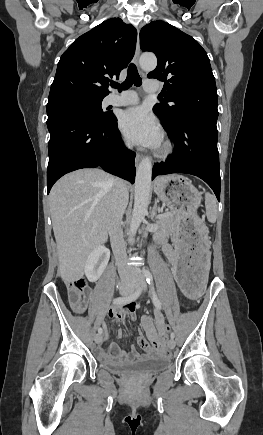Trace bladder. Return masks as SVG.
I'll list each match as a JSON object with an SVG mask.
<instances>
[{"mask_svg":"<svg viewBox=\"0 0 263 435\" xmlns=\"http://www.w3.org/2000/svg\"><path fill=\"white\" fill-rule=\"evenodd\" d=\"M169 358L163 355H152L133 362H104L103 368L117 374H152L160 372L169 365Z\"/></svg>","mask_w":263,"mask_h":435,"instance_id":"obj_1","label":"bladder"}]
</instances>
